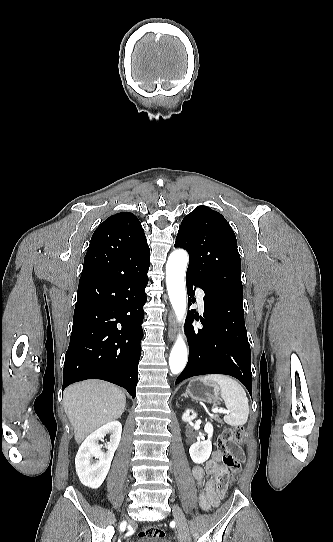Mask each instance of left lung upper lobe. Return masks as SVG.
<instances>
[{
  "label": "left lung upper lobe",
  "mask_w": 333,
  "mask_h": 542,
  "mask_svg": "<svg viewBox=\"0 0 333 542\" xmlns=\"http://www.w3.org/2000/svg\"><path fill=\"white\" fill-rule=\"evenodd\" d=\"M175 247L187 250V273L199 278L206 287L243 296L236 236L220 213L207 206L196 207L184 217Z\"/></svg>",
  "instance_id": "obj_1"
}]
</instances>
